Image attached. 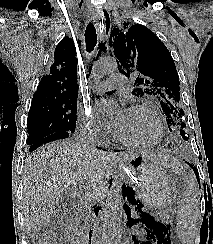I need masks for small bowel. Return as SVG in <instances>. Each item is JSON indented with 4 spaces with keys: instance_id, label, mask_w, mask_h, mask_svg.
<instances>
[{
    "instance_id": "1",
    "label": "small bowel",
    "mask_w": 213,
    "mask_h": 244,
    "mask_svg": "<svg viewBox=\"0 0 213 244\" xmlns=\"http://www.w3.org/2000/svg\"><path fill=\"white\" fill-rule=\"evenodd\" d=\"M146 244H158V242L157 241H152V242H145Z\"/></svg>"
}]
</instances>
